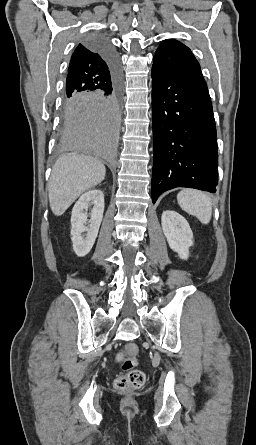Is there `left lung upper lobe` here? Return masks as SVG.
<instances>
[{
  "mask_svg": "<svg viewBox=\"0 0 256 445\" xmlns=\"http://www.w3.org/2000/svg\"><path fill=\"white\" fill-rule=\"evenodd\" d=\"M153 63L195 82L206 84L200 65L191 50L176 40L163 41L155 52Z\"/></svg>",
  "mask_w": 256,
  "mask_h": 445,
  "instance_id": "5c2ea615",
  "label": "left lung upper lobe"
}]
</instances>
